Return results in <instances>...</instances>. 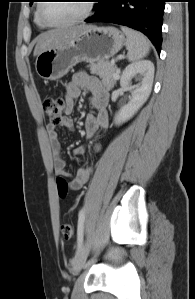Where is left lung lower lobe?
<instances>
[{"mask_svg":"<svg viewBox=\"0 0 195 299\" xmlns=\"http://www.w3.org/2000/svg\"><path fill=\"white\" fill-rule=\"evenodd\" d=\"M95 14L87 23L109 22L145 34L160 53L165 0H97Z\"/></svg>","mask_w":195,"mask_h":299,"instance_id":"1","label":"left lung lower lobe"}]
</instances>
